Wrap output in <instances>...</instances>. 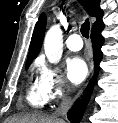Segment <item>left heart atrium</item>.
I'll return each instance as SVG.
<instances>
[{"instance_id":"1","label":"left heart atrium","mask_w":118,"mask_h":123,"mask_svg":"<svg viewBox=\"0 0 118 123\" xmlns=\"http://www.w3.org/2000/svg\"><path fill=\"white\" fill-rule=\"evenodd\" d=\"M66 74L73 84L78 85L87 77L88 67L82 58L76 56L68 60Z\"/></svg>"}]
</instances>
